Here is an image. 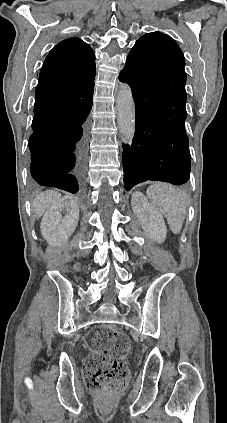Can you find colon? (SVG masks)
Instances as JSON below:
<instances>
[{
	"instance_id": "1",
	"label": "colon",
	"mask_w": 227,
	"mask_h": 423,
	"mask_svg": "<svg viewBox=\"0 0 227 423\" xmlns=\"http://www.w3.org/2000/svg\"><path fill=\"white\" fill-rule=\"evenodd\" d=\"M90 354L84 364L86 386L102 395H115L127 385L129 338L108 325L97 326L86 338Z\"/></svg>"
}]
</instances>
